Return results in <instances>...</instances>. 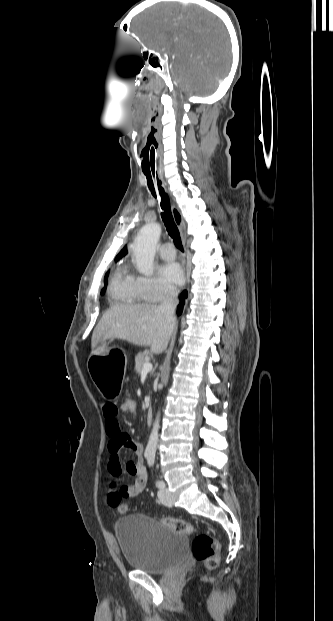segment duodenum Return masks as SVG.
Listing matches in <instances>:
<instances>
[{
  "mask_svg": "<svg viewBox=\"0 0 333 621\" xmlns=\"http://www.w3.org/2000/svg\"><path fill=\"white\" fill-rule=\"evenodd\" d=\"M153 420V410L152 409H148L146 412V421L148 424H150Z\"/></svg>",
  "mask_w": 333,
  "mask_h": 621,
  "instance_id": "1",
  "label": "duodenum"
}]
</instances>
